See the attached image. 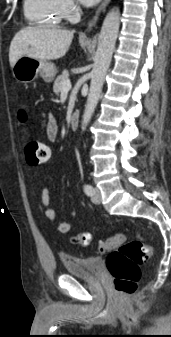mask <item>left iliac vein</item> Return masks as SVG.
<instances>
[{
	"label": "left iliac vein",
	"instance_id": "1",
	"mask_svg": "<svg viewBox=\"0 0 171 337\" xmlns=\"http://www.w3.org/2000/svg\"><path fill=\"white\" fill-rule=\"evenodd\" d=\"M92 201L96 204L101 203V191L98 188H95L94 194L92 196Z\"/></svg>",
	"mask_w": 171,
	"mask_h": 337
}]
</instances>
